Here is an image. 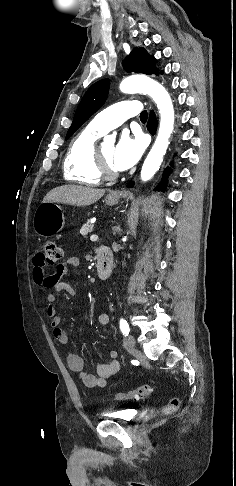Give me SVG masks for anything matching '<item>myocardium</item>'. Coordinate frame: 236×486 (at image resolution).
Segmentation results:
<instances>
[{
  "label": "myocardium",
  "instance_id": "1",
  "mask_svg": "<svg viewBox=\"0 0 236 486\" xmlns=\"http://www.w3.org/2000/svg\"><path fill=\"white\" fill-rule=\"evenodd\" d=\"M94 163L96 172L101 180H114L118 177V172L107 166L97 147L94 149Z\"/></svg>",
  "mask_w": 236,
  "mask_h": 486
}]
</instances>
